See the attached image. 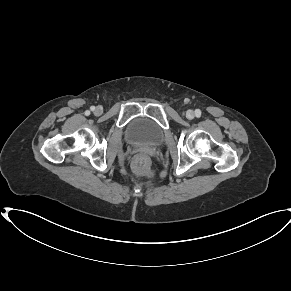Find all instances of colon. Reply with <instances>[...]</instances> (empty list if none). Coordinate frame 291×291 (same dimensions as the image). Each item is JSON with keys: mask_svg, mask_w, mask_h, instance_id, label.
Wrapping results in <instances>:
<instances>
[{"mask_svg": "<svg viewBox=\"0 0 291 291\" xmlns=\"http://www.w3.org/2000/svg\"><path fill=\"white\" fill-rule=\"evenodd\" d=\"M135 170L143 175L153 176V171L150 167L147 157L138 155L134 160Z\"/></svg>", "mask_w": 291, "mask_h": 291, "instance_id": "obj_1", "label": "colon"}]
</instances>
